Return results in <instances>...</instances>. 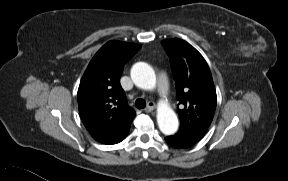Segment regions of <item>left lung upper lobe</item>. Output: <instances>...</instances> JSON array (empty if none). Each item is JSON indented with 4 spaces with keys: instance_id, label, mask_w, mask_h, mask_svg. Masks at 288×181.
Returning a JSON list of instances; mask_svg holds the SVG:
<instances>
[{
    "instance_id": "5c2ea615",
    "label": "left lung upper lobe",
    "mask_w": 288,
    "mask_h": 181,
    "mask_svg": "<svg viewBox=\"0 0 288 181\" xmlns=\"http://www.w3.org/2000/svg\"><path fill=\"white\" fill-rule=\"evenodd\" d=\"M167 52L176 83L180 130H203L210 126L217 103L210 69L203 56L186 41L171 38L161 42Z\"/></svg>"
}]
</instances>
